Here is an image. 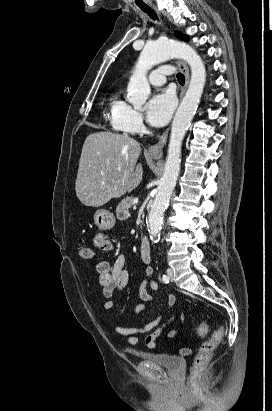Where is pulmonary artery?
Wrapping results in <instances>:
<instances>
[{
	"mask_svg": "<svg viewBox=\"0 0 272 411\" xmlns=\"http://www.w3.org/2000/svg\"><path fill=\"white\" fill-rule=\"evenodd\" d=\"M171 71L165 67H160L151 72L149 75V82L154 86H162L166 82V77Z\"/></svg>",
	"mask_w": 272,
	"mask_h": 411,
	"instance_id": "1",
	"label": "pulmonary artery"
}]
</instances>
